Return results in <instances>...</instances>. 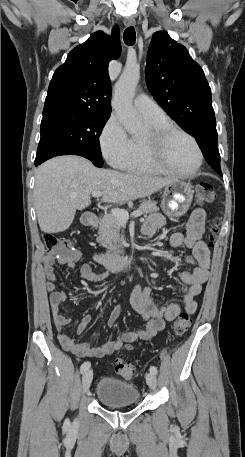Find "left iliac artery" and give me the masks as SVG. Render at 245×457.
Wrapping results in <instances>:
<instances>
[{
    "label": "left iliac artery",
    "mask_w": 245,
    "mask_h": 457,
    "mask_svg": "<svg viewBox=\"0 0 245 457\" xmlns=\"http://www.w3.org/2000/svg\"><path fill=\"white\" fill-rule=\"evenodd\" d=\"M150 372L156 375L158 373L157 367L156 366H151L150 367Z\"/></svg>",
    "instance_id": "obj_1"
}]
</instances>
